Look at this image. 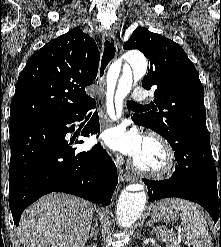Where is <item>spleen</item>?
<instances>
[{"mask_svg":"<svg viewBox=\"0 0 221 247\" xmlns=\"http://www.w3.org/2000/svg\"><path fill=\"white\" fill-rule=\"evenodd\" d=\"M179 209L181 211V224L186 232L188 244L192 247H212V240L207 231V223L197 207L191 202L182 201L179 204ZM155 232L168 244V247L176 246L177 238L175 234L161 228L155 229Z\"/></svg>","mask_w":221,"mask_h":247,"instance_id":"3e777b00","label":"spleen"}]
</instances>
